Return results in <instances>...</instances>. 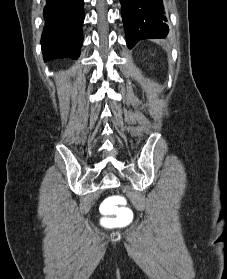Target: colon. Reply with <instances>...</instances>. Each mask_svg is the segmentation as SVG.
I'll return each mask as SVG.
<instances>
[{
	"label": "colon",
	"mask_w": 227,
	"mask_h": 279,
	"mask_svg": "<svg viewBox=\"0 0 227 279\" xmlns=\"http://www.w3.org/2000/svg\"><path fill=\"white\" fill-rule=\"evenodd\" d=\"M113 199L119 204H123L125 202L124 195H114ZM129 217L130 210L127 207L120 206L117 213L105 215V223L108 225L112 221H127Z\"/></svg>",
	"instance_id": "obj_1"
}]
</instances>
